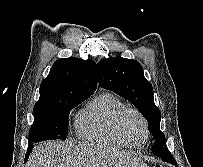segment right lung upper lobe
<instances>
[{"label":"right lung upper lobe","instance_id":"obj_1","mask_svg":"<svg viewBox=\"0 0 203 167\" xmlns=\"http://www.w3.org/2000/svg\"><path fill=\"white\" fill-rule=\"evenodd\" d=\"M97 87L96 63L81 58L57 60L40 85V98L34 107L52 106L72 98H88Z\"/></svg>","mask_w":203,"mask_h":167}]
</instances>
